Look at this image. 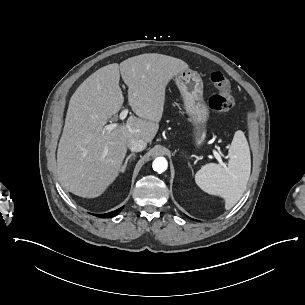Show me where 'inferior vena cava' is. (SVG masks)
<instances>
[{
  "mask_svg": "<svg viewBox=\"0 0 305 305\" xmlns=\"http://www.w3.org/2000/svg\"><path fill=\"white\" fill-rule=\"evenodd\" d=\"M147 143L141 139L129 138L127 140V146L130 150L139 152L146 148Z\"/></svg>",
  "mask_w": 305,
  "mask_h": 305,
  "instance_id": "inferior-vena-cava-1",
  "label": "inferior vena cava"
}]
</instances>
